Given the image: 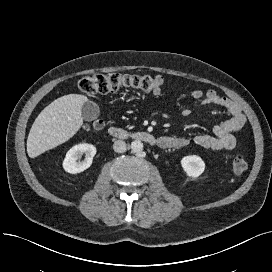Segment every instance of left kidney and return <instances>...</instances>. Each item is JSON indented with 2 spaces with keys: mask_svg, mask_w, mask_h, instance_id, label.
Here are the masks:
<instances>
[{
  "mask_svg": "<svg viewBox=\"0 0 272 272\" xmlns=\"http://www.w3.org/2000/svg\"><path fill=\"white\" fill-rule=\"evenodd\" d=\"M181 166L189 177L197 178L205 170V163L197 155L184 156L181 159Z\"/></svg>",
  "mask_w": 272,
  "mask_h": 272,
  "instance_id": "obj_1",
  "label": "left kidney"
}]
</instances>
